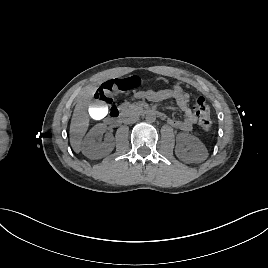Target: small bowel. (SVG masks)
Returning <instances> with one entry per match:
<instances>
[{"mask_svg":"<svg viewBox=\"0 0 268 268\" xmlns=\"http://www.w3.org/2000/svg\"><path fill=\"white\" fill-rule=\"evenodd\" d=\"M136 98H144L151 102H159L164 100H175L177 106L184 113L183 119L169 118L168 123L181 131H190L198 120V116L191 107V98L181 86L173 85L170 88L161 90L139 91L134 94Z\"/></svg>","mask_w":268,"mask_h":268,"instance_id":"small-bowel-1","label":"small bowel"}]
</instances>
